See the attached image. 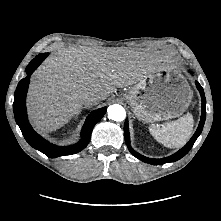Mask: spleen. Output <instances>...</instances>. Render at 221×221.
I'll use <instances>...</instances> for the list:
<instances>
[{
  "instance_id": "spleen-1",
  "label": "spleen",
  "mask_w": 221,
  "mask_h": 221,
  "mask_svg": "<svg viewBox=\"0 0 221 221\" xmlns=\"http://www.w3.org/2000/svg\"><path fill=\"white\" fill-rule=\"evenodd\" d=\"M194 119L190 113L178 120L167 122L161 127L149 126L150 134L162 145L168 148H180L184 146L192 135Z\"/></svg>"
}]
</instances>
